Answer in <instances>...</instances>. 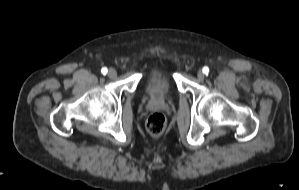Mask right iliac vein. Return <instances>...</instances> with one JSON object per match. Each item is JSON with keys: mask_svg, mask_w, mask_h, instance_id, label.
I'll use <instances>...</instances> for the list:
<instances>
[{"mask_svg": "<svg viewBox=\"0 0 299 190\" xmlns=\"http://www.w3.org/2000/svg\"><path fill=\"white\" fill-rule=\"evenodd\" d=\"M108 76H109L110 78H115V77L117 76V72H116V70L113 69V68L109 69V71H108Z\"/></svg>", "mask_w": 299, "mask_h": 190, "instance_id": "63e3f726", "label": "right iliac vein"}]
</instances>
